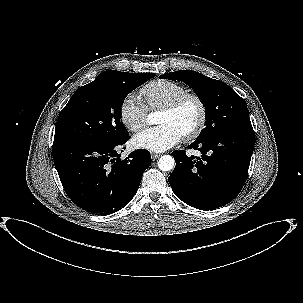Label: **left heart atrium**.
Listing matches in <instances>:
<instances>
[{
    "label": "left heart atrium",
    "instance_id": "obj_1",
    "mask_svg": "<svg viewBox=\"0 0 303 303\" xmlns=\"http://www.w3.org/2000/svg\"><path fill=\"white\" fill-rule=\"evenodd\" d=\"M181 139L182 134L166 123L141 131L134 136L133 143L138 148L162 152L178 144Z\"/></svg>",
    "mask_w": 303,
    "mask_h": 303
}]
</instances>
